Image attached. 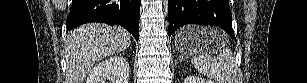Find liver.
<instances>
[{"label": "liver", "instance_id": "1", "mask_svg": "<svg viewBox=\"0 0 307 83\" xmlns=\"http://www.w3.org/2000/svg\"><path fill=\"white\" fill-rule=\"evenodd\" d=\"M130 42L125 29L101 23L85 24L70 31L64 42L66 83H83L97 62L126 50Z\"/></svg>", "mask_w": 307, "mask_h": 83}]
</instances>
